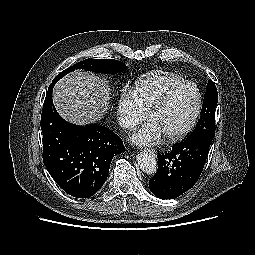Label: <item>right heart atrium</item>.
<instances>
[{
	"label": "right heart atrium",
	"instance_id": "1",
	"mask_svg": "<svg viewBox=\"0 0 255 255\" xmlns=\"http://www.w3.org/2000/svg\"><path fill=\"white\" fill-rule=\"evenodd\" d=\"M117 118L121 127L133 129L147 118V112L129 87H123L117 100Z\"/></svg>",
	"mask_w": 255,
	"mask_h": 255
}]
</instances>
